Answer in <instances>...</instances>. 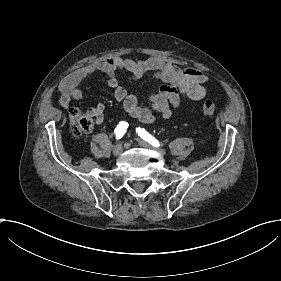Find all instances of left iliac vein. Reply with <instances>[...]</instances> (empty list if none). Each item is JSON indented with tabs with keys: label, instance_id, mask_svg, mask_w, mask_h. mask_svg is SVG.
Here are the masks:
<instances>
[{
	"label": "left iliac vein",
	"instance_id": "4c4485c4",
	"mask_svg": "<svg viewBox=\"0 0 281 281\" xmlns=\"http://www.w3.org/2000/svg\"><path fill=\"white\" fill-rule=\"evenodd\" d=\"M143 148H146V149H153L155 151H157L159 153V155H164L165 154V151L164 150H159L158 148L152 146L151 144H148V142L146 141H143V144H142Z\"/></svg>",
	"mask_w": 281,
	"mask_h": 281
}]
</instances>
